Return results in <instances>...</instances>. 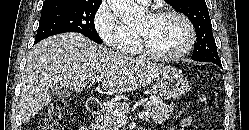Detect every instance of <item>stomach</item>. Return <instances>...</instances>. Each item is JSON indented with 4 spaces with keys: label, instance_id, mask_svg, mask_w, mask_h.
Masks as SVG:
<instances>
[{
    "label": "stomach",
    "instance_id": "0dacf381",
    "mask_svg": "<svg viewBox=\"0 0 249 130\" xmlns=\"http://www.w3.org/2000/svg\"><path fill=\"white\" fill-rule=\"evenodd\" d=\"M156 84L161 95L166 98H179L190 90L188 80L178 70L161 74Z\"/></svg>",
    "mask_w": 249,
    "mask_h": 130
}]
</instances>
